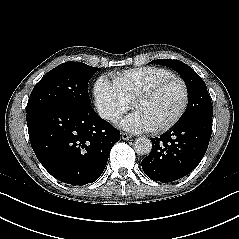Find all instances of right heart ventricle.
Listing matches in <instances>:
<instances>
[{
  "label": "right heart ventricle",
  "instance_id": "obj_1",
  "mask_svg": "<svg viewBox=\"0 0 239 239\" xmlns=\"http://www.w3.org/2000/svg\"><path fill=\"white\" fill-rule=\"evenodd\" d=\"M171 72L159 66H141L111 74L112 83L124 99L130 103L137 91L144 88L158 77Z\"/></svg>",
  "mask_w": 239,
  "mask_h": 239
}]
</instances>
